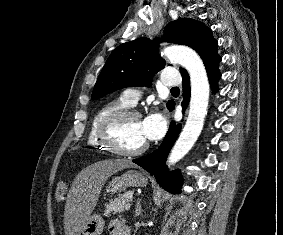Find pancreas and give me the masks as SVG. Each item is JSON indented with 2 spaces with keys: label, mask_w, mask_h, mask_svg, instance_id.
Wrapping results in <instances>:
<instances>
[{
  "label": "pancreas",
  "mask_w": 283,
  "mask_h": 235,
  "mask_svg": "<svg viewBox=\"0 0 283 235\" xmlns=\"http://www.w3.org/2000/svg\"><path fill=\"white\" fill-rule=\"evenodd\" d=\"M131 199L132 196L129 192L119 195L117 198L106 204L104 215L109 217L111 214L122 213Z\"/></svg>",
  "instance_id": "pancreas-1"
}]
</instances>
